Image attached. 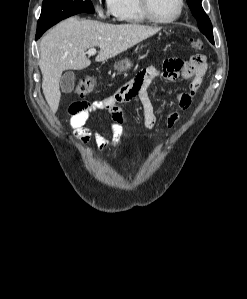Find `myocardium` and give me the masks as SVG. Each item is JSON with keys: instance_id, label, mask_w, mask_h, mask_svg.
<instances>
[{"instance_id": "f54148a6", "label": "myocardium", "mask_w": 247, "mask_h": 299, "mask_svg": "<svg viewBox=\"0 0 247 299\" xmlns=\"http://www.w3.org/2000/svg\"><path fill=\"white\" fill-rule=\"evenodd\" d=\"M139 6L145 18L156 24H169L176 21L182 14L184 8V0H178V10L174 16L168 19H159L151 11L150 0H139Z\"/></svg>"}]
</instances>
